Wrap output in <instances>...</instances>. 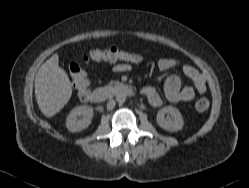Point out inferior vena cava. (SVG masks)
Segmentation results:
<instances>
[{
	"mask_svg": "<svg viewBox=\"0 0 249 188\" xmlns=\"http://www.w3.org/2000/svg\"><path fill=\"white\" fill-rule=\"evenodd\" d=\"M116 105V102L113 100V99H110L108 102H107V110H112L114 109Z\"/></svg>",
	"mask_w": 249,
	"mask_h": 188,
	"instance_id": "obj_1",
	"label": "inferior vena cava"
}]
</instances>
